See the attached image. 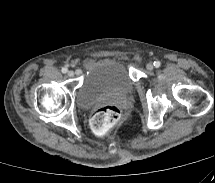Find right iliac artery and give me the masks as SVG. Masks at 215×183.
Returning <instances> with one entry per match:
<instances>
[{"instance_id":"82829eb1","label":"right iliac artery","mask_w":215,"mask_h":183,"mask_svg":"<svg viewBox=\"0 0 215 183\" xmlns=\"http://www.w3.org/2000/svg\"><path fill=\"white\" fill-rule=\"evenodd\" d=\"M61 71H62V73H67L68 70H67V68L63 67Z\"/></svg>"}]
</instances>
